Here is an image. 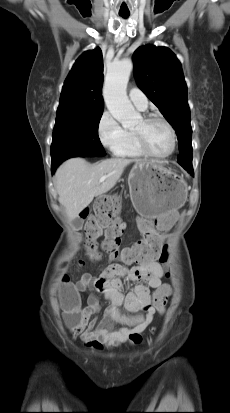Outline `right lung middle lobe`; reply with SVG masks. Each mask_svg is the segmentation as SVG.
Wrapping results in <instances>:
<instances>
[{
    "label": "right lung middle lobe",
    "mask_w": 230,
    "mask_h": 413,
    "mask_svg": "<svg viewBox=\"0 0 230 413\" xmlns=\"http://www.w3.org/2000/svg\"><path fill=\"white\" fill-rule=\"evenodd\" d=\"M101 116L102 113L57 117L51 145L52 163H61L71 157L106 155L98 136Z\"/></svg>",
    "instance_id": "dd1d6c3e"
}]
</instances>
